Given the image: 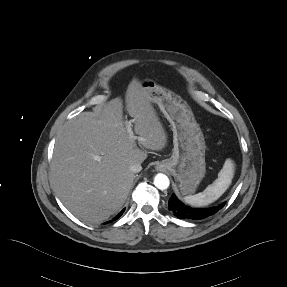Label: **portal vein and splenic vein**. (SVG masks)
<instances>
[{
  "label": "portal vein and splenic vein",
  "instance_id": "portal-vein-and-splenic-vein-1",
  "mask_svg": "<svg viewBox=\"0 0 287 287\" xmlns=\"http://www.w3.org/2000/svg\"><path fill=\"white\" fill-rule=\"evenodd\" d=\"M132 122H134V120H132V121H126V127H127L128 133H129L130 139L135 140V139H137V136H135L134 133H133V131H132V128H131V126H132L131 123H132Z\"/></svg>",
  "mask_w": 287,
  "mask_h": 287
}]
</instances>
